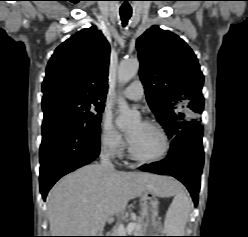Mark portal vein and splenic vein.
<instances>
[{"mask_svg":"<svg viewBox=\"0 0 248 237\" xmlns=\"http://www.w3.org/2000/svg\"><path fill=\"white\" fill-rule=\"evenodd\" d=\"M121 226L123 227V225H121ZM134 228H135V224L133 222H130L127 225L126 229L123 228V231H126V232L130 233V232L133 231Z\"/></svg>","mask_w":248,"mask_h":237,"instance_id":"portal-vein-and-splenic-vein-1","label":"portal vein and splenic vein"}]
</instances>
